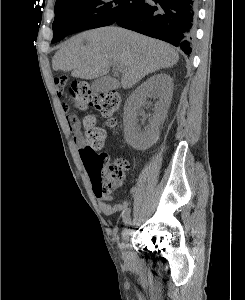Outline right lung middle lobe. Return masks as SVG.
<instances>
[{"label": "right lung middle lobe", "instance_id": "dd1d6c3e", "mask_svg": "<svg viewBox=\"0 0 245 300\" xmlns=\"http://www.w3.org/2000/svg\"><path fill=\"white\" fill-rule=\"evenodd\" d=\"M143 3L144 0H58L52 25V43L82 30L111 25ZM60 21L65 22V28L57 26Z\"/></svg>", "mask_w": 245, "mask_h": 300}]
</instances>
